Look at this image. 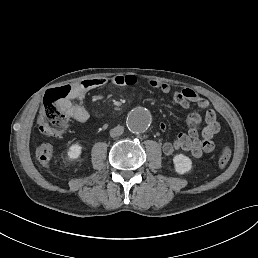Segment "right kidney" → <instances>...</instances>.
Listing matches in <instances>:
<instances>
[{
    "label": "right kidney",
    "mask_w": 258,
    "mask_h": 258,
    "mask_svg": "<svg viewBox=\"0 0 258 258\" xmlns=\"http://www.w3.org/2000/svg\"><path fill=\"white\" fill-rule=\"evenodd\" d=\"M82 147L79 144H73L68 150V159L74 160L77 159L81 154Z\"/></svg>",
    "instance_id": "ca27d5eb"
}]
</instances>
